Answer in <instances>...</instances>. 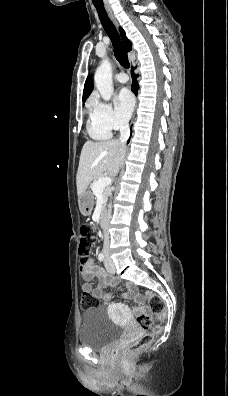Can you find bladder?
I'll list each match as a JSON object with an SVG mask.
<instances>
[{"mask_svg":"<svg viewBox=\"0 0 228 396\" xmlns=\"http://www.w3.org/2000/svg\"><path fill=\"white\" fill-rule=\"evenodd\" d=\"M123 332V327L114 323L104 308H93L82 315L79 341L92 350L103 351L118 341Z\"/></svg>","mask_w":228,"mask_h":396,"instance_id":"obj_1","label":"bladder"}]
</instances>
